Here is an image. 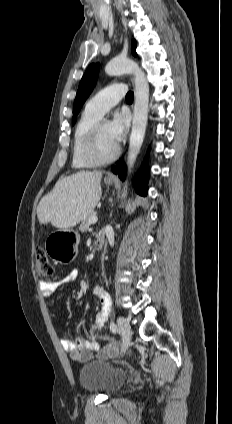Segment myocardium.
Masks as SVG:
<instances>
[{
	"mask_svg": "<svg viewBox=\"0 0 232 424\" xmlns=\"http://www.w3.org/2000/svg\"><path fill=\"white\" fill-rule=\"evenodd\" d=\"M105 122L99 119L90 129L83 145V156L93 166L106 165L113 162L119 155L120 148L117 145L114 152L107 157H102L98 151V139L102 124Z\"/></svg>",
	"mask_w": 232,
	"mask_h": 424,
	"instance_id": "obj_1",
	"label": "myocardium"
}]
</instances>
